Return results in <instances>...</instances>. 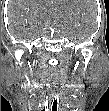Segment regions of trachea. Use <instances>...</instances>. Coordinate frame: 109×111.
I'll return each mask as SVG.
<instances>
[{"label":"trachea","mask_w":109,"mask_h":111,"mask_svg":"<svg viewBox=\"0 0 109 111\" xmlns=\"http://www.w3.org/2000/svg\"><path fill=\"white\" fill-rule=\"evenodd\" d=\"M54 107H55V105H53V107H52V111H57Z\"/></svg>","instance_id":"trachea-1"}]
</instances>
